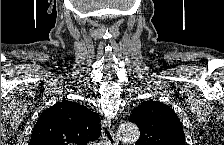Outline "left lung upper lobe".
Masks as SVG:
<instances>
[{
	"mask_svg": "<svg viewBox=\"0 0 224 145\" xmlns=\"http://www.w3.org/2000/svg\"><path fill=\"white\" fill-rule=\"evenodd\" d=\"M140 130L136 145H185V135L175 112L157 101H144L130 116Z\"/></svg>",
	"mask_w": 224,
	"mask_h": 145,
	"instance_id": "left-lung-upper-lobe-1",
	"label": "left lung upper lobe"
}]
</instances>
